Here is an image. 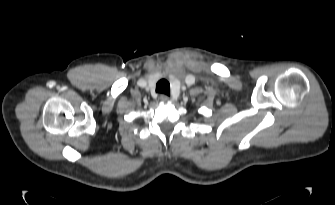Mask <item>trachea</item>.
<instances>
[{
    "label": "trachea",
    "mask_w": 335,
    "mask_h": 205,
    "mask_svg": "<svg viewBox=\"0 0 335 205\" xmlns=\"http://www.w3.org/2000/svg\"><path fill=\"white\" fill-rule=\"evenodd\" d=\"M156 92L170 95V84L167 80L161 79L157 82Z\"/></svg>",
    "instance_id": "1"
}]
</instances>
